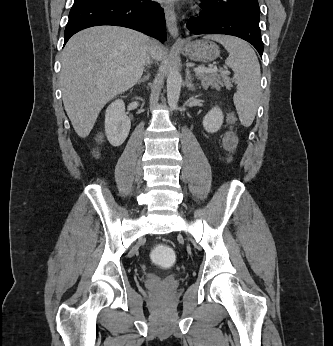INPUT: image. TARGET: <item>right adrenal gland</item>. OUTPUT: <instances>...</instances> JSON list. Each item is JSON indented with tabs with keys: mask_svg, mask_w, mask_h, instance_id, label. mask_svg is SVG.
Listing matches in <instances>:
<instances>
[{
	"mask_svg": "<svg viewBox=\"0 0 333 346\" xmlns=\"http://www.w3.org/2000/svg\"><path fill=\"white\" fill-rule=\"evenodd\" d=\"M150 78V74L147 72L146 75L138 81V84L147 81Z\"/></svg>",
	"mask_w": 333,
	"mask_h": 346,
	"instance_id": "obj_1",
	"label": "right adrenal gland"
}]
</instances>
